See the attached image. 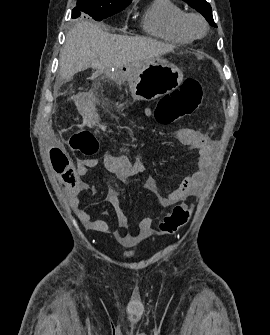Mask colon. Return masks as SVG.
<instances>
[{
  "instance_id": "5ec220e1",
  "label": "colon",
  "mask_w": 270,
  "mask_h": 335,
  "mask_svg": "<svg viewBox=\"0 0 270 335\" xmlns=\"http://www.w3.org/2000/svg\"><path fill=\"white\" fill-rule=\"evenodd\" d=\"M201 101V88L195 79H187L178 88L160 98L155 110L149 111L156 122L169 126L194 111ZM70 148L86 157H93L99 151V141L95 134L87 129L72 133ZM189 207L183 204L174 206L171 214L162 219L161 228L166 233H173L189 220Z\"/></svg>"
}]
</instances>
